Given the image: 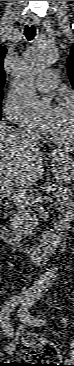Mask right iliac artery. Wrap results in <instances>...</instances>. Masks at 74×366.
<instances>
[{"instance_id": "obj_1", "label": "right iliac artery", "mask_w": 74, "mask_h": 366, "mask_svg": "<svg viewBox=\"0 0 74 366\" xmlns=\"http://www.w3.org/2000/svg\"><path fill=\"white\" fill-rule=\"evenodd\" d=\"M28 299L29 298L25 295H17L12 297L3 307L0 318L2 329L6 334L12 335L13 333V329L9 321V315L12 309L20 303H25L26 301H28Z\"/></svg>"}]
</instances>
